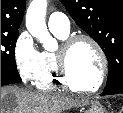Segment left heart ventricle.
Here are the masks:
<instances>
[{
    "label": "left heart ventricle",
    "mask_w": 123,
    "mask_h": 113,
    "mask_svg": "<svg viewBox=\"0 0 123 113\" xmlns=\"http://www.w3.org/2000/svg\"><path fill=\"white\" fill-rule=\"evenodd\" d=\"M68 71L72 81L84 88L96 83L100 71V59L94 47L85 41L78 42L68 57Z\"/></svg>",
    "instance_id": "obj_1"
}]
</instances>
